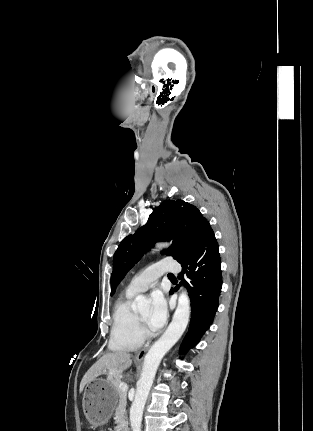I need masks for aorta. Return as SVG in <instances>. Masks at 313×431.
<instances>
[{"instance_id":"aorta-1","label":"aorta","mask_w":313,"mask_h":431,"mask_svg":"<svg viewBox=\"0 0 313 431\" xmlns=\"http://www.w3.org/2000/svg\"><path fill=\"white\" fill-rule=\"evenodd\" d=\"M168 244H158L157 247H166ZM148 306L145 296L138 295L135 298L137 310H143ZM190 318V299L185 290H182L178 298V305L173 315L172 322L164 334L153 344L147 352L141 378L137 383V390L130 409V423L132 431H141V422L144 406L152 386L157 368L163 356L176 344L184 333Z\"/></svg>"}]
</instances>
